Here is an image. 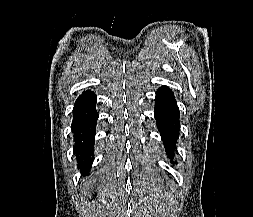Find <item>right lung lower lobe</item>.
Returning a JSON list of instances; mask_svg holds the SVG:
<instances>
[{
  "mask_svg": "<svg viewBox=\"0 0 253 217\" xmlns=\"http://www.w3.org/2000/svg\"><path fill=\"white\" fill-rule=\"evenodd\" d=\"M96 96L90 91L84 92L75 102L73 109L72 131L74 133L75 149L82 174H86L93 161V145L95 126L98 113L95 109Z\"/></svg>",
  "mask_w": 253,
  "mask_h": 217,
  "instance_id": "obj_1",
  "label": "right lung lower lobe"
}]
</instances>
